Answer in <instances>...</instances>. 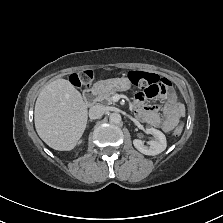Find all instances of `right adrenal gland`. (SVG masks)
<instances>
[{
	"label": "right adrenal gland",
	"instance_id": "1",
	"mask_svg": "<svg viewBox=\"0 0 223 223\" xmlns=\"http://www.w3.org/2000/svg\"><path fill=\"white\" fill-rule=\"evenodd\" d=\"M92 121H93L92 119L89 120V122H92Z\"/></svg>",
	"mask_w": 223,
	"mask_h": 223
}]
</instances>
